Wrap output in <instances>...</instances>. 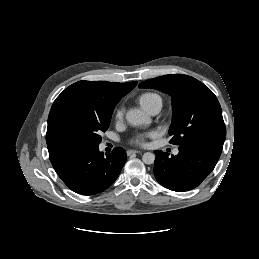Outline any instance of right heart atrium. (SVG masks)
<instances>
[{
  "label": "right heart atrium",
  "instance_id": "1",
  "mask_svg": "<svg viewBox=\"0 0 259 259\" xmlns=\"http://www.w3.org/2000/svg\"><path fill=\"white\" fill-rule=\"evenodd\" d=\"M123 115H124V110L122 107H119L116 109V111L114 112V120L116 122H120L123 119Z\"/></svg>",
  "mask_w": 259,
  "mask_h": 259
}]
</instances>
